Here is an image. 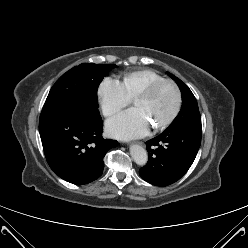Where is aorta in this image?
I'll list each match as a JSON object with an SVG mask.
<instances>
[{"label": "aorta", "instance_id": "aorta-1", "mask_svg": "<svg viewBox=\"0 0 248 248\" xmlns=\"http://www.w3.org/2000/svg\"><path fill=\"white\" fill-rule=\"evenodd\" d=\"M130 155L134 162L138 165H145L148 160V154L146 149H144L141 145L132 144L129 147Z\"/></svg>", "mask_w": 248, "mask_h": 248}]
</instances>
